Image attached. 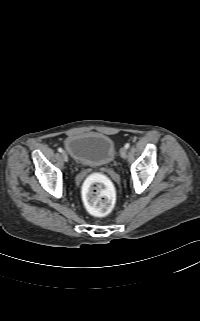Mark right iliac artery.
Here are the masks:
<instances>
[{
	"mask_svg": "<svg viewBox=\"0 0 200 321\" xmlns=\"http://www.w3.org/2000/svg\"><path fill=\"white\" fill-rule=\"evenodd\" d=\"M58 151H59L60 153H62V152H63V149H62V148H58Z\"/></svg>",
	"mask_w": 200,
	"mask_h": 321,
	"instance_id": "1",
	"label": "right iliac artery"
}]
</instances>
